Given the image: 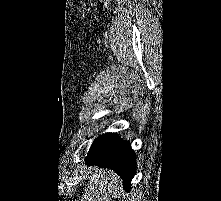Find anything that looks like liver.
<instances>
[{"label":"liver","instance_id":"liver-1","mask_svg":"<svg viewBox=\"0 0 221 201\" xmlns=\"http://www.w3.org/2000/svg\"><path fill=\"white\" fill-rule=\"evenodd\" d=\"M88 184L81 201H110L121 189V179L108 169L90 168Z\"/></svg>","mask_w":221,"mask_h":201}]
</instances>
